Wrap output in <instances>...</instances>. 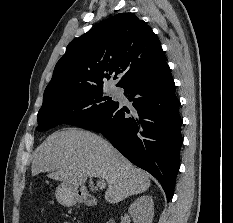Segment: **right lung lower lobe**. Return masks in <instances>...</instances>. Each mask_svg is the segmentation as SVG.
<instances>
[{
    "label": "right lung lower lobe",
    "mask_w": 233,
    "mask_h": 223,
    "mask_svg": "<svg viewBox=\"0 0 233 223\" xmlns=\"http://www.w3.org/2000/svg\"><path fill=\"white\" fill-rule=\"evenodd\" d=\"M133 102H121L81 126L101 132L128 160L148 171L161 183L169 201L180 165L182 119L169 66L143 73L124 85Z\"/></svg>",
    "instance_id": "1"
}]
</instances>
